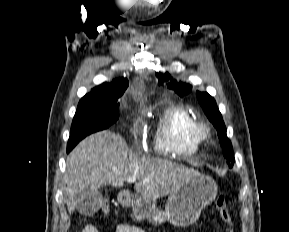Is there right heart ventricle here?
Segmentation results:
<instances>
[{"label":"right heart ventricle","instance_id":"right-heart-ventricle-1","mask_svg":"<svg viewBox=\"0 0 289 232\" xmlns=\"http://www.w3.org/2000/svg\"><path fill=\"white\" fill-rule=\"evenodd\" d=\"M194 117L184 107L172 105L159 115L153 145L157 152L165 155H189L194 153L200 142L193 136Z\"/></svg>","mask_w":289,"mask_h":232}]
</instances>
